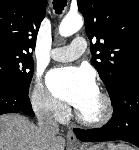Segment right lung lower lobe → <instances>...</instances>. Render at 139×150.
<instances>
[{
  "label": "right lung lower lobe",
  "instance_id": "obj_1",
  "mask_svg": "<svg viewBox=\"0 0 139 150\" xmlns=\"http://www.w3.org/2000/svg\"><path fill=\"white\" fill-rule=\"evenodd\" d=\"M6 113H25L34 117L28 91L0 85V115Z\"/></svg>",
  "mask_w": 139,
  "mask_h": 150
}]
</instances>
